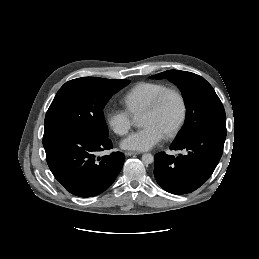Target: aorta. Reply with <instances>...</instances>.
I'll list each match as a JSON object with an SVG mask.
<instances>
[{
    "mask_svg": "<svg viewBox=\"0 0 259 259\" xmlns=\"http://www.w3.org/2000/svg\"><path fill=\"white\" fill-rule=\"evenodd\" d=\"M136 125L138 126V124H136ZM153 161H154V157H153L152 154L145 153V154L142 155V162L144 164H151V163H153Z\"/></svg>",
    "mask_w": 259,
    "mask_h": 259,
    "instance_id": "1",
    "label": "aorta"
}]
</instances>
